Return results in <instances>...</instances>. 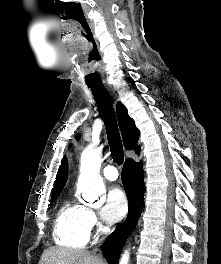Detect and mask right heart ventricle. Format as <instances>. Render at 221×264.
<instances>
[{"mask_svg":"<svg viewBox=\"0 0 221 264\" xmlns=\"http://www.w3.org/2000/svg\"><path fill=\"white\" fill-rule=\"evenodd\" d=\"M87 208L71 199L63 202L57 212L53 239L57 245L70 248H83L90 238L87 223Z\"/></svg>","mask_w":221,"mask_h":264,"instance_id":"e07e8e85","label":"right heart ventricle"}]
</instances>
